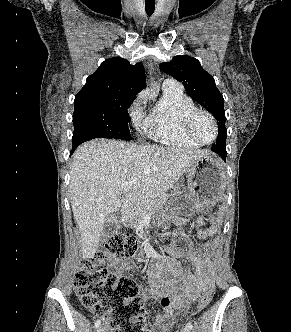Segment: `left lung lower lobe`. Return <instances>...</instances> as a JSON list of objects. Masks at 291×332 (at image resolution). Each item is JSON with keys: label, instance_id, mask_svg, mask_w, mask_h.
<instances>
[{"label": "left lung lower lobe", "instance_id": "obj_1", "mask_svg": "<svg viewBox=\"0 0 291 332\" xmlns=\"http://www.w3.org/2000/svg\"><path fill=\"white\" fill-rule=\"evenodd\" d=\"M211 150L217 154H219L224 161H226V146H213Z\"/></svg>", "mask_w": 291, "mask_h": 332}]
</instances>
